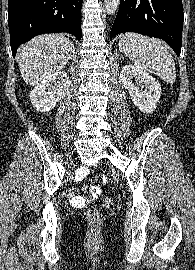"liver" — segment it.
I'll use <instances>...</instances> for the list:
<instances>
[{"instance_id":"liver-1","label":"liver","mask_w":195,"mask_h":270,"mask_svg":"<svg viewBox=\"0 0 195 270\" xmlns=\"http://www.w3.org/2000/svg\"><path fill=\"white\" fill-rule=\"evenodd\" d=\"M73 43L63 35H40L18 50L17 62L23 80L30 86L61 70L73 53Z\"/></svg>"}]
</instances>
